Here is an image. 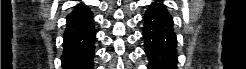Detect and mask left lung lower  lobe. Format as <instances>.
I'll use <instances>...</instances> for the list:
<instances>
[{
  "mask_svg": "<svg viewBox=\"0 0 246 69\" xmlns=\"http://www.w3.org/2000/svg\"><path fill=\"white\" fill-rule=\"evenodd\" d=\"M143 38L148 69H174L177 62V39L173 19L162 2L155 1L145 15Z\"/></svg>",
  "mask_w": 246,
  "mask_h": 69,
  "instance_id": "left-lung-lower-lobe-1",
  "label": "left lung lower lobe"
}]
</instances>
